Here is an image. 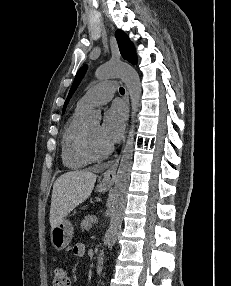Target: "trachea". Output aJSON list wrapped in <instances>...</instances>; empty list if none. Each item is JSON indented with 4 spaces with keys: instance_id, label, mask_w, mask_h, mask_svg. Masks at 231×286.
Returning <instances> with one entry per match:
<instances>
[{
    "instance_id": "3493384b",
    "label": "trachea",
    "mask_w": 231,
    "mask_h": 286,
    "mask_svg": "<svg viewBox=\"0 0 231 286\" xmlns=\"http://www.w3.org/2000/svg\"><path fill=\"white\" fill-rule=\"evenodd\" d=\"M119 92L123 95L125 93V89L123 87H120Z\"/></svg>"
}]
</instances>
